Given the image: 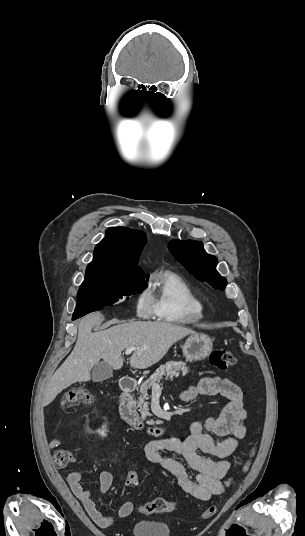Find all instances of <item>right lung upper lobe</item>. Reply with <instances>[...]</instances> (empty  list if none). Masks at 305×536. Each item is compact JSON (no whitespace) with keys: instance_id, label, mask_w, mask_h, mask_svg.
Listing matches in <instances>:
<instances>
[{"instance_id":"1","label":"right lung upper lobe","mask_w":305,"mask_h":536,"mask_svg":"<svg viewBox=\"0 0 305 536\" xmlns=\"http://www.w3.org/2000/svg\"><path fill=\"white\" fill-rule=\"evenodd\" d=\"M146 240V234L139 230L107 229L106 237L94 249V258L86 269L85 278H145L143 270L136 265Z\"/></svg>"}]
</instances>
